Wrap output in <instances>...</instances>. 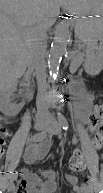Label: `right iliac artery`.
Listing matches in <instances>:
<instances>
[{"instance_id": "right-iliac-artery-1", "label": "right iliac artery", "mask_w": 103, "mask_h": 193, "mask_svg": "<svg viewBox=\"0 0 103 193\" xmlns=\"http://www.w3.org/2000/svg\"><path fill=\"white\" fill-rule=\"evenodd\" d=\"M47 133L46 131H42V132H39V133H36L33 137V141L35 142H38V141H42L43 139H45ZM11 181L15 180L17 178V171H14V172H11Z\"/></svg>"}]
</instances>
